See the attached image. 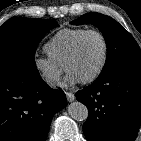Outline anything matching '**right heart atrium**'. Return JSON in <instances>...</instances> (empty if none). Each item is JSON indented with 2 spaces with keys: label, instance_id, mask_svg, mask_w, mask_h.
Wrapping results in <instances>:
<instances>
[{
  "label": "right heart atrium",
  "instance_id": "right-heart-atrium-1",
  "mask_svg": "<svg viewBox=\"0 0 141 141\" xmlns=\"http://www.w3.org/2000/svg\"><path fill=\"white\" fill-rule=\"evenodd\" d=\"M33 66L40 78L49 86H55L60 81L63 67L48 55H35Z\"/></svg>",
  "mask_w": 141,
  "mask_h": 141
}]
</instances>
